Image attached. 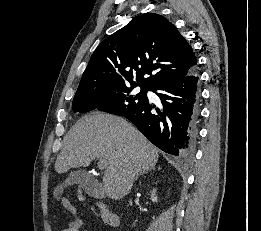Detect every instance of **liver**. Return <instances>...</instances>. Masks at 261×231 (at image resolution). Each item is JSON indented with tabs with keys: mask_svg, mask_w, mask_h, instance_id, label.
Listing matches in <instances>:
<instances>
[{
	"mask_svg": "<svg viewBox=\"0 0 261 231\" xmlns=\"http://www.w3.org/2000/svg\"><path fill=\"white\" fill-rule=\"evenodd\" d=\"M96 157L107 160L102 191L119 199L130 192L135 175L155 166L159 154L125 119L93 113L78 120L65 136L55 171L87 167Z\"/></svg>",
	"mask_w": 261,
	"mask_h": 231,
	"instance_id": "6515ba94",
	"label": "liver"
}]
</instances>
